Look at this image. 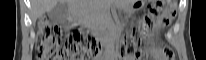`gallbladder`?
I'll use <instances>...</instances> for the list:
<instances>
[{
    "label": "gallbladder",
    "mask_w": 206,
    "mask_h": 60,
    "mask_svg": "<svg viewBox=\"0 0 206 60\" xmlns=\"http://www.w3.org/2000/svg\"><path fill=\"white\" fill-rule=\"evenodd\" d=\"M48 16L56 24H64L67 21L68 8L66 2L58 3L54 8L48 11Z\"/></svg>",
    "instance_id": "bac80fb5"
}]
</instances>
